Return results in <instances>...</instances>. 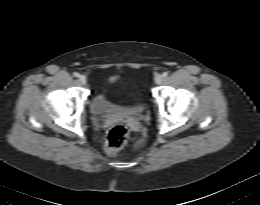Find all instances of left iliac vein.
<instances>
[{"label":"left iliac vein","mask_w":260,"mask_h":205,"mask_svg":"<svg viewBox=\"0 0 260 205\" xmlns=\"http://www.w3.org/2000/svg\"><path fill=\"white\" fill-rule=\"evenodd\" d=\"M162 81H163V76L162 75L156 76V78H155V83L156 84H161Z\"/></svg>","instance_id":"obj_1"}]
</instances>
